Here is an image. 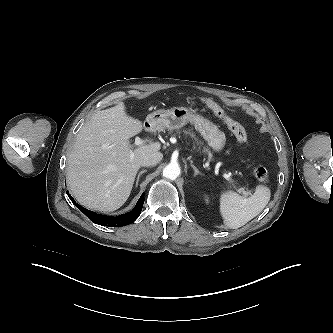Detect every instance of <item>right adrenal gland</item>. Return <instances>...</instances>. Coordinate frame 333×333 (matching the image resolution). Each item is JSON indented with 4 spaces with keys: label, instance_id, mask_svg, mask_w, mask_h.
<instances>
[{
    "label": "right adrenal gland",
    "instance_id": "1",
    "mask_svg": "<svg viewBox=\"0 0 333 333\" xmlns=\"http://www.w3.org/2000/svg\"><path fill=\"white\" fill-rule=\"evenodd\" d=\"M145 172H147V170H142V171L139 172V174H138V176H137V180H136L135 187L138 186L139 179H140L141 175H142L143 173H145Z\"/></svg>",
    "mask_w": 333,
    "mask_h": 333
}]
</instances>
